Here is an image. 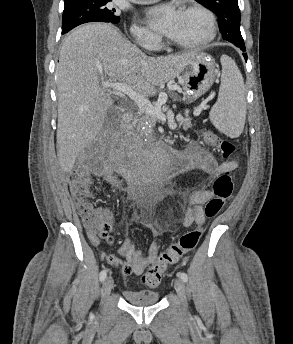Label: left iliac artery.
Returning <instances> with one entry per match:
<instances>
[{"mask_svg":"<svg viewBox=\"0 0 293 344\" xmlns=\"http://www.w3.org/2000/svg\"><path fill=\"white\" fill-rule=\"evenodd\" d=\"M178 277H180L182 279L183 282H187L188 281V276L185 272H178Z\"/></svg>","mask_w":293,"mask_h":344,"instance_id":"44dca946","label":"left iliac artery"}]
</instances>
